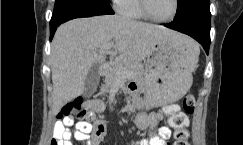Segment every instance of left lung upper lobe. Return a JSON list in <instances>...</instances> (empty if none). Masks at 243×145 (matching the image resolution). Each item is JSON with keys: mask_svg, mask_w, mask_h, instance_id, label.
I'll list each match as a JSON object with an SVG mask.
<instances>
[{"mask_svg": "<svg viewBox=\"0 0 243 145\" xmlns=\"http://www.w3.org/2000/svg\"><path fill=\"white\" fill-rule=\"evenodd\" d=\"M176 13L210 35V0H177Z\"/></svg>", "mask_w": 243, "mask_h": 145, "instance_id": "5c2ea615", "label": "left lung upper lobe"}]
</instances>
